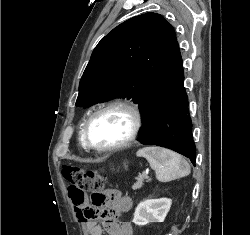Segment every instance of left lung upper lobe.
<instances>
[{
    "instance_id": "left-lung-upper-lobe-1",
    "label": "left lung upper lobe",
    "mask_w": 250,
    "mask_h": 235,
    "mask_svg": "<svg viewBox=\"0 0 250 235\" xmlns=\"http://www.w3.org/2000/svg\"><path fill=\"white\" fill-rule=\"evenodd\" d=\"M176 41L173 26L157 13L121 23L95 47L80 81L76 106L126 97L139 103Z\"/></svg>"
}]
</instances>
